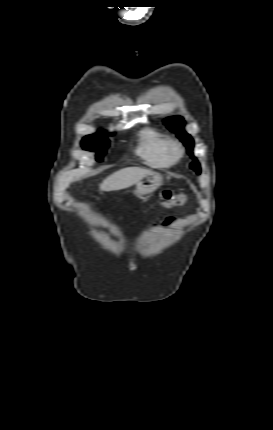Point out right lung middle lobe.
I'll return each mask as SVG.
<instances>
[{"label": "right lung middle lobe", "mask_w": 273, "mask_h": 430, "mask_svg": "<svg viewBox=\"0 0 273 430\" xmlns=\"http://www.w3.org/2000/svg\"><path fill=\"white\" fill-rule=\"evenodd\" d=\"M82 147L86 150L96 151V160L102 161V157L109 147V140L104 132L88 135L82 140Z\"/></svg>", "instance_id": "1"}]
</instances>
